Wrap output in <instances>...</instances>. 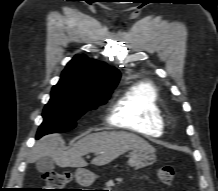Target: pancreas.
<instances>
[{"instance_id":"obj_1","label":"pancreas","mask_w":218,"mask_h":191,"mask_svg":"<svg viewBox=\"0 0 218 191\" xmlns=\"http://www.w3.org/2000/svg\"><path fill=\"white\" fill-rule=\"evenodd\" d=\"M117 181H118V182H122V179L119 178V179H117ZM106 186H107L108 188H111V187L115 186V184H114L113 181H108L107 184H106Z\"/></svg>"}]
</instances>
